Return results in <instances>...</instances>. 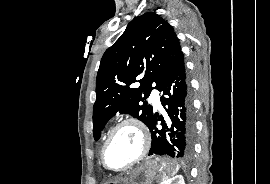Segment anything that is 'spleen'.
<instances>
[{
	"instance_id": "3e777b00",
	"label": "spleen",
	"mask_w": 270,
	"mask_h": 184,
	"mask_svg": "<svg viewBox=\"0 0 270 184\" xmlns=\"http://www.w3.org/2000/svg\"><path fill=\"white\" fill-rule=\"evenodd\" d=\"M177 171H178V170H177ZM177 171H176V172H177ZM176 172H175V173H176ZM175 173L172 174L171 176L175 175ZM171 176H164L162 180L165 181V180H167L168 178H170ZM160 184H161V183H160Z\"/></svg>"
}]
</instances>
